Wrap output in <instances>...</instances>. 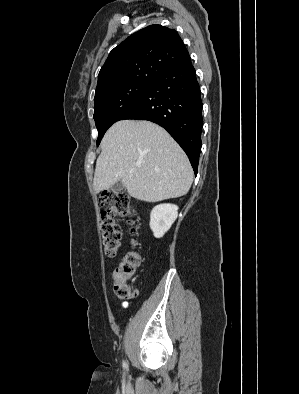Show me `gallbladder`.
Returning <instances> with one entry per match:
<instances>
[{
    "instance_id": "obj_1",
    "label": "gallbladder",
    "mask_w": 299,
    "mask_h": 394,
    "mask_svg": "<svg viewBox=\"0 0 299 394\" xmlns=\"http://www.w3.org/2000/svg\"><path fill=\"white\" fill-rule=\"evenodd\" d=\"M124 189V184L122 181H117L114 185H112V190L115 192H120Z\"/></svg>"
}]
</instances>
